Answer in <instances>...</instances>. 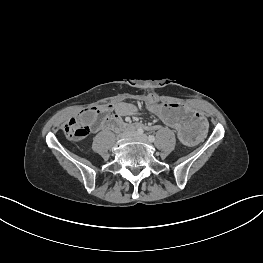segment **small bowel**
<instances>
[{"label":"small bowel","instance_id":"c3829d8e","mask_svg":"<svg viewBox=\"0 0 263 263\" xmlns=\"http://www.w3.org/2000/svg\"><path fill=\"white\" fill-rule=\"evenodd\" d=\"M112 110L116 113V117L136 115L139 113V109L135 105L124 102L115 104Z\"/></svg>","mask_w":263,"mask_h":263}]
</instances>
